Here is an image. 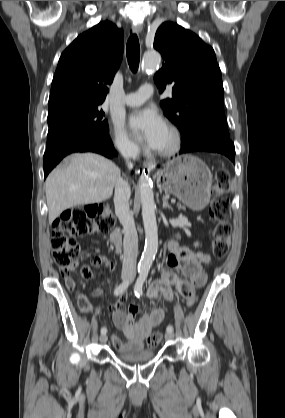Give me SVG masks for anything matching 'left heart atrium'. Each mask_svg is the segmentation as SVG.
<instances>
[{"mask_svg": "<svg viewBox=\"0 0 285 418\" xmlns=\"http://www.w3.org/2000/svg\"><path fill=\"white\" fill-rule=\"evenodd\" d=\"M129 126L141 134L143 140L154 147H158L166 131V122L154 108H144L133 111L129 116Z\"/></svg>", "mask_w": 285, "mask_h": 418, "instance_id": "1", "label": "left heart atrium"}]
</instances>
